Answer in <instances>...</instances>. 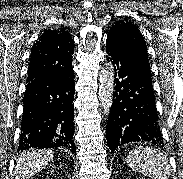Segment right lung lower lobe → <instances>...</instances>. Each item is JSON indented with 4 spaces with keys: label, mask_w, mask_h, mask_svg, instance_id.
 Returning a JSON list of instances; mask_svg holds the SVG:
<instances>
[{
    "label": "right lung lower lobe",
    "mask_w": 183,
    "mask_h": 179,
    "mask_svg": "<svg viewBox=\"0 0 183 179\" xmlns=\"http://www.w3.org/2000/svg\"><path fill=\"white\" fill-rule=\"evenodd\" d=\"M74 94V74L69 77L40 76L28 81L18 152L64 147L75 153Z\"/></svg>",
    "instance_id": "obj_1"
}]
</instances>
